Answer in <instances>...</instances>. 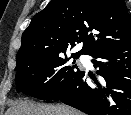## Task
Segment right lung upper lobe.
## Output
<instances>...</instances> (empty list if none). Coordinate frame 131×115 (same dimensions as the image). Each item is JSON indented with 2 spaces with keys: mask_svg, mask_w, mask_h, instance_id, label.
Returning a JSON list of instances; mask_svg holds the SVG:
<instances>
[{
  "mask_svg": "<svg viewBox=\"0 0 131 115\" xmlns=\"http://www.w3.org/2000/svg\"><path fill=\"white\" fill-rule=\"evenodd\" d=\"M93 55L131 44V16L123 0H51L23 32L16 69L47 57L66 53Z\"/></svg>",
  "mask_w": 131,
  "mask_h": 115,
  "instance_id": "cb5924a9",
  "label": "right lung upper lobe"
}]
</instances>
